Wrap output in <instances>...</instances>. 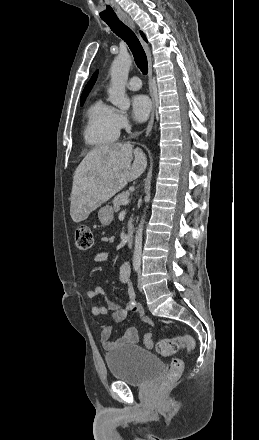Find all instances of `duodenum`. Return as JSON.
I'll return each mask as SVG.
<instances>
[{
    "label": "duodenum",
    "instance_id": "1",
    "mask_svg": "<svg viewBox=\"0 0 259 440\" xmlns=\"http://www.w3.org/2000/svg\"><path fill=\"white\" fill-rule=\"evenodd\" d=\"M133 235H134L133 229L129 228L126 234V243L128 246H131L133 243Z\"/></svg>",
    "mask_w": 259,
    "mask_h": 440
}]
</instances>
